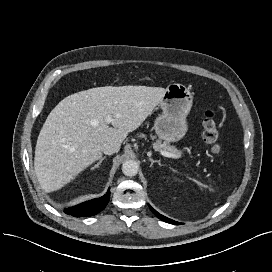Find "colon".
Listing matches in <instances>:
<instances>
[{"label":"colon","instance_id":"obj_1","mask_svg":"<svg viewBox=\"0 0 272 272\" xmlns=\"http://www.w3.org/2000/svg\"><path fill=\"white\" fill-rule=\"evenodd\" d=\"M203 140L206 144L210 146V149L213 153L217 154L221 150L220 137L221 132L219 125L216 121L214 113L207 111L203 118Z\"/></svg>","mask_w":272,"mask_h":272}]
</instances>
